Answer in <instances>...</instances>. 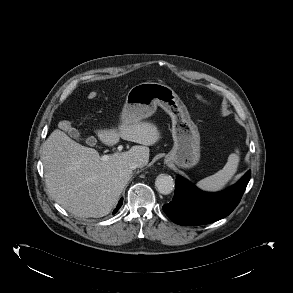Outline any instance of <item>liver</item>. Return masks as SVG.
<instances>
[{
  "mask_svg": "<svg viewBox=\"0 0 293 293\" xmlns=\"http://www.w3.org/2000/svg\"><path fill=\"white\" fill-rule=\"evenodd\" d=\"M102 143L113 146L120 137L143 146L115 153L102 160L98 151L54 130L43 143L42 162L45 182L51 197L64 209L80 218H99L110 213L132 176L129 162L149 161V148L160 139L152 123H122L117 129L96 131Z\"/></svg>",
  "mask_w": 293,
  "mask_h": 293,
  "instance_id": "6515ba94",
  "label": "liver"
}]
</instances>
